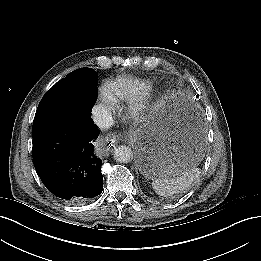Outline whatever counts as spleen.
Here are the masks:
<instances>
[{"label": "spleen", "instance_id": "spleen-1", "mask_svg": "<svg viewBox=\"0 0 261 261\" xmlns=\"http://www.w3.org/2000/svg\"><path fill=\"white\" fill-rule=\"evenodd\" d=\"M171 171L168 170L164 177H159L152 182L154 191L160 196H172L189 189L201 173L199 168H191L176 173L172 177L167 175Z\"/></svg>", "mask_w": 261, "mask_h": 261}]
</instances>
